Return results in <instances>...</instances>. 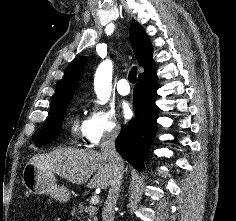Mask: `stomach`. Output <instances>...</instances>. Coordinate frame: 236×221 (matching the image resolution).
<instances>
[{"label": "stomach", "mask_w": 236, "mask_h": 221, "mask_svg": "<svg viewBox=\"0 0 236 221\" xmlns=\"http://www.w3.org/2000/svg\"><path fill=\"white\" fill-rule=\"evenodd\" d=\"M22 182L30 193L48 194L61 202L70 199L69 190L57 185L54 173L43 170L32 163H28L24 167Z\"/></svg>", "instance_id": "1"}]
</instances>
